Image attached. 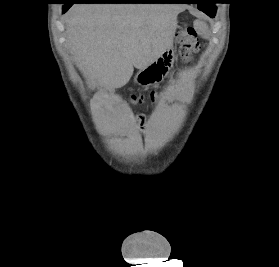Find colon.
I'll return each mask as SVG.
<instances>
[{"label": "colon", "instance_id": "5ec220e1", "mask_svg": "<svg viewBox=\"0 0 279 267\" xmlns=\"http://www.w3.org/2000/svg\"><path fill=\"white\" fill-rule=\"evenodd\" d=\"M178 51L180 56L189 61L199 51V41L196 30L191 25H184L178 33ZM157 98L156 92H151L148 96L132 95L131 100L134 103L143 102L146 99L155 101Z\"/></svg>", "mask_w": 279, "mask_h": 267}]
</instances>
